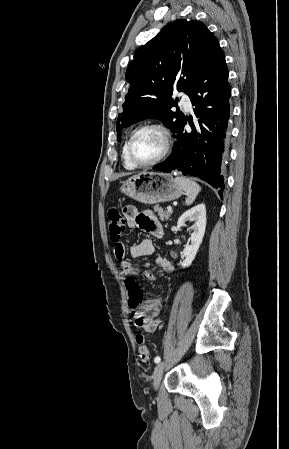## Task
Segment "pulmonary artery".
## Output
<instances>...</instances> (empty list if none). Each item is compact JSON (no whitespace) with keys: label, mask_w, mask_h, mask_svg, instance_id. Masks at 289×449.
Segmentation results:
<instances>
[{"label":"pulmonary artery","mask_w":289,"mask_h":449,"mask_svg":"<svg viewBox=\"0 0 289 449\" xmlns=\"http://www.w3.org/2000/svg\"><path fill=\"white\" fill-rule=\"evenodd\" d=\"M181 102H182L184 108L187 111H190L192 109V103H191V100H190V98H189V96L187 94H184L182 96Z\"/></svg>","instance_id":"obj_1"}]
</instances>
